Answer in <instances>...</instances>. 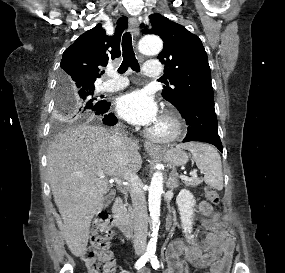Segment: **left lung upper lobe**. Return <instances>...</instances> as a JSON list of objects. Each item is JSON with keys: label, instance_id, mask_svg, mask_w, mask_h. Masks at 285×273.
Returning <instances> with one entry per match:
<instances>
[{"label": "left lung upper lobe", "instance_id": "obj_1", "mask_svg": "<svg viewBox=\"0 0 285 273\" xmlns=\"http://www.w3.org/2000/svg\"><path fill=\"white\" fill-rule=\"evenodd\" d=\"M152 28L144 33L159 35L164 49L158 59L170 79L161 95L176 108L191 102L214 101L207 53L198 36L160 14L149 16Z\"/></svg>", "mask_w": 285, "mask_h": 273}]
</instances>
